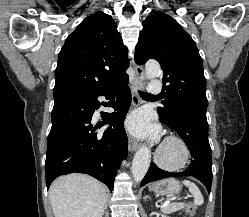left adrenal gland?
Wrapping results in <instances>:
<instances>
[{
    "mask_svg": "<svg viewBox=\"0 0 249 217\" xmlns=\"http://www.w3.org/2000/svg\"><path fill=\"white\" fill-rule=\"evenodd\" d=\"M150 198L148 195L145 196V199Z\"/></svg>",
    "mask_w": 249,
    "mask_h": 217,
    "instance_id": "left-adrenal-gland-1",
    "label": "left adrenal gland"
}]
</instances>
